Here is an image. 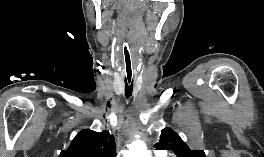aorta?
I'll return each instance as SVG.
<instances>
[{
  "mask_svg": "<svg viewBox=\"0 0 264 157\" xmlns=\"http://www.w3.org/2000/svg\"><path fill=\"white\" fill-rule=\"evenodd\" d=\"M125 157H150V152L143 141L137 140L131 144Z\"/></svg>",
  "mask_w": 264,
  "mask_h": 157,
  "instance_id": "aorta-1",
  "label": "aorta"
}]
</instances>
